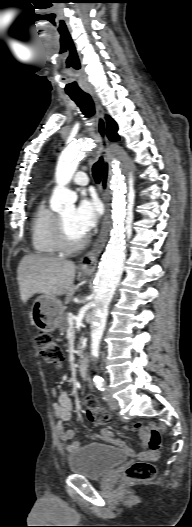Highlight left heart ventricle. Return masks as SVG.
I'll list each match as a JSON object with an SVG mask.
<instances>
[{"instance_id":"left-heart-ventricle-1","label":"left heart ventricle","mask_w":192,"mask_h":527,"mask_svg":"<svg viewBox=\"0 0 192 527\" xmlns=\"http://www.w3.org/2000/svg\"><path fill=\"white\" fill-rule=\"evenodd\" d=\"M74 209L69 208L59 214L62 219L66 235L71 242L79 241L84 235L80 233L73 224Z\"/></svg>"}]
</instances>
